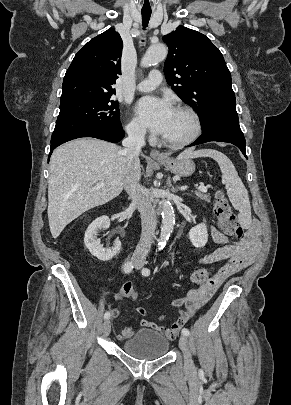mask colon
Here are the masks:
<instances>
[{
	"mask_svg": "<svg viewBox=\"0 0 291 405\" xmlns=\"http://www.w3.org/2000/svg\"><path fill=\"white\" fill-rule=\"evenodd\" d=\"M214 213L218 219L220 229L226 235L235 238H241L243 229L237 221L236 216L231 210L228 200L222 193L216 195L214 204ZM191 280L195 284H204L210 280L209 271L207 269H197L191 275ZM121 295L126 298L135 299L137 293L131 283H125L121 287Z\"/></svg>",
	"mask_w": 291,
	"mask_h": 405,
	"instance_id": "1",
	"label": "colon"
}]
</instances>
